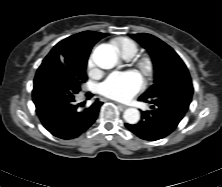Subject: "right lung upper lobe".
I'll return each mask as SVG.
<instances>
[{"label":"right lung upper lobe","instance_id":"right-lung-upper-lobe-1","mask_svg":"<svg viewBox=\"0 0 222 187\" xmlns=\"http://www.w3.org/2000/svg\"><path fill=\"white\" fill-rule=\"evenodd\" d=\"M107 35L108 34L106 33L94 31H84L72 35L55 45V47L51 50L45 59H51L55 56H75L78 58L88 59L93 45Z\"/></svg>","mask_w":222,"mask_h":187}]
</instances>
